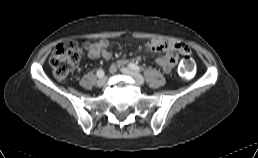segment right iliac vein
Instances as JSON below:
<instances>
[{"mask_svg": "<svg viewBox=\"0 0 258 158\" xmlns=\"http://www.w3.org/2000/svg\"><path fill=\"white\" fill-rule=\"evenodd\" d=\"M105 83H106V77H102V78H100V79L97 81V86H98V87H102V86L105 85Z\"/></svg>", "mask_w": 258, "mask_h": 158, "instance_id": "right-iliac-vein-1", "label": "right iliac vein"}]
</instances>
